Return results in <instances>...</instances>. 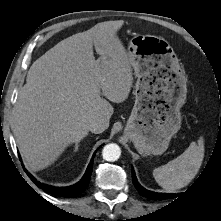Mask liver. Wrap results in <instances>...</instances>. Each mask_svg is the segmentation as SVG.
Returning a JSON list of instances; mask_svg holds the SVG:
<instances>
[{
	"instance_id": "1",
	"label": "liver",
	"mask_w": 221,
	"mask_h": 221,
	"mask_svg": "<svg viewBox=\"0 0 221 221\" xmlns=\"http://www.w3.org/2000/svg\"><path fill=\"white\" fill-rule=\"evenodd\" d=\"M123 24L101 22L74 34L30 67L15 107L14 135L31 170L49 166L69 144L83 139L92 121L102 120L107 129L114 112L109 101L128 98L131 63L117 36Z\"/></svg>"
}]
</instances>
